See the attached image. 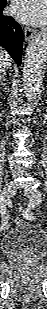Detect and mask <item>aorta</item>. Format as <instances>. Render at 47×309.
I'll return each mask as SVG.
<instances>
[{
    "instance_id": "762f6f07",
    "label": "aorta",
    "mask_w": 47,
    "mask_h": 309,
    "mask_svg": "<svg viewBox=\"0 0 47 309\" xmlns=\"http://www.w3.org/2000/svg\"><path fill=\"white\" fill-rule=\"evenodd\" d=\"M47 63V35L39 32L27 48L24 67L23 84L28 102L34 101L40 94Z\"/></svg>"
}]
</instances>
